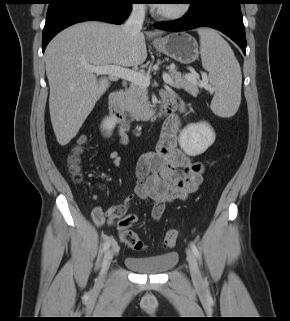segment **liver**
I'll use <instances>...</instances> for the list:
<instances>
[{"instance_id": "1", "label": "liver", "mask_w": 290, "mask_h": 321, "mask_svg": "<svg viewBox=\"0 0 290 321\" xmlns=\"http://www.w3.org/2000/svg\"><path fill=\"white\" fill-rule=\"evenodd\" d=\"M146 58L144 33L128 34L119 25L87 21L56 35L46 48L45 64L50 118L58 143L65 146L76 136L111 84V78L98 79L88 67H136Z\"/></svg>"}]
</instances>
